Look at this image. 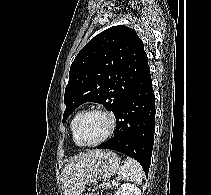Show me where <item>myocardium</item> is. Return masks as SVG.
<instances>
[{"label": "myocardium", "instance_id": "f54148a6", "mask_svg": "<svg viewBox=\"0 0 211 195\" xmlns=\"http://www.w3.org/2000/svg\"><path fill=\"white\" fill-rule=\"evenodd\" d=\"M90 113H101V114L105 115L109 120V128H108L107 132L105 133V135L102 138H100L99 140H97L93 143H85V142L81 141V139H80L79 128H80L83 118ZM116 126H117V119H116L115 114L112 111H110L109 109H106L104 107H93V108H90L80 114V116L76 122L75 136H76L78 143L81 146L94 147V146H98V145L104 143L105 141H107L113 135V133L116 129Z\"/></svg>", "mask_w": 211, "mask_h": 195}]
</instances>
